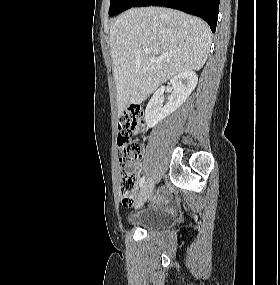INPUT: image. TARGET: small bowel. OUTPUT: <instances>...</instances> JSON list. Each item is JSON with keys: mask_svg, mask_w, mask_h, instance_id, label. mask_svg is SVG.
Returning a JSON list of instances; mask_svg holds the SVG:
<instances>
[{"mask_svg": "<svg viewBox=\"0 0 280 285\" xmlns=\"http://www.w3.org/2000/svg\"><path fill=\"white\" fill-rule=\"evenodd\" d=\"M152 202L156 205H162L165 203V200L161 197L159 193L152 195Z\"/></svg>", "mask_w": 280, "mask_h": 285, "instance_id": "c3829d8e", "label": "small bowel"}]
</instances>
